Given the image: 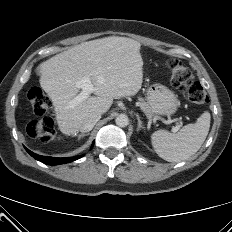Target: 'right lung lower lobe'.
Here are the masks:
<instances>
[{
    "label": "right lung lower lobe",
    "mask_w": 232,
    "mask_h": 232,
    "mask_svg": "<svg viewBox=\"0 0 232 232\" xmlns=\"http://www.w3.org/2000/svg\"><path fill=\"white\" fill-rule=\"evenodd\" d=\"M25 149L36 160L41 161L42 163H45L48 165H59V164H64V163H70L72 161H75V160L83 157V155H78V156H74V157H70V158L47 157V156L37 155V154L31 152L30 150H28L27 148H25Z\"/></svg>",
    "instance_id": "obj_1"
}]
</instances>
